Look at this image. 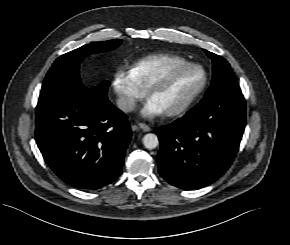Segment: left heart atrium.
<instances>
[{
	"label": "left heart atrium",
	"instance_id": "39dd6f15",
	"mask_svg": "<svg viewBox=\"0 0 290 245\" xmlns=\"http://www.w3.org/2000/svg\"><path fill=\"white\" fill-rule=\"evenodd\" d=\"M164 113L163 108L151 97L141 109V115L145 118H155Z\"/></svg>",
	"mask_w": 290,
	"mask_h": 245
}]
</instances>
